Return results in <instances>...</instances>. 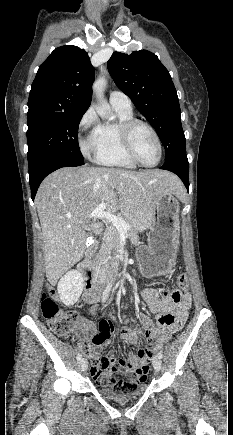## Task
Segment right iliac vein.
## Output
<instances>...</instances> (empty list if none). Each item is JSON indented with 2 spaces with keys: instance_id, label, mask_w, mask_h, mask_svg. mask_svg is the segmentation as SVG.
<instances>
[{
  "instance_id": "1",
  "label": "right iliac vein",
  "mask_w": 233,
  "mask_h": 435,
  "mask_svg": "<svg viewBox=\"0 0 233 435\" xmlns=\"http://www.w3.org/2000/svg\"><path fill=\"white\" fill-rule=\"evenodd\" d=\"M79 367L82 371H85L88 367V361L86 358H83L79 361Z\"/></svg>"
}]
</instances>
